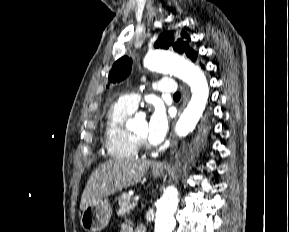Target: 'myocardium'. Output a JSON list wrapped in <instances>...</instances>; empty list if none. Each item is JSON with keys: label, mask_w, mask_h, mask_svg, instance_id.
<instances>
[{"label": "myocardium", "mask_w": 289, "mask_h": 232, "mask_svg": "<svg viewBox=\"0 0 289 232\" xmlns=\"http://www.w3.org/2000/svg\"><path fill=\"white\" fill-rule=\"evenodd\" d=\"M131 136L133 137V139L136 141V143L139 145V147H143V148H148L149 144L147 142L146 139L138 137L137 135L130 133Z\"/></svg>", "instance_id": "obj_1"}]
</instances>
